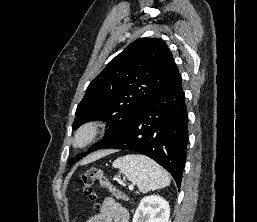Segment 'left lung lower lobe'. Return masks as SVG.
Returning a JSON list of instances; mask_svg holds the SVG:
<instances>
[{
	"label": "left lung lower lobe",
	"mask_w": 257,
	"mask_h": 222,
	"mask_svg": "<svg viewBox=\"0 0 257 222\" xmlns=\"http://www.w3.org/2000/svg\"><path fill=\"white\" fill-rule=\"evenodd\" d=\"M179 72L145 105L142 111L101 149H123L144 154L164 167L180 188L188 118Z\"/></svg>",
	"instance_id": "0a47b994"
}]
</instances>
